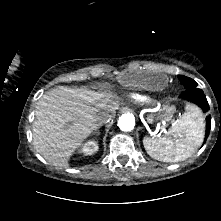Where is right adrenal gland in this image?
Returning a JSON list of instances; mask_svg holds the SVG:
<instances>
[{
  "label": "right adrenal gland",
  "instance_id": "right-adrenal-gland-1",
  "mask_svg": "<svg viewBox=\"0 0 221 221\" xmlns=\"http://www.w3.org/2000/svg\"><path fill=\"white\" fill-rule=\"evenodd\" d=\"M93 133L96 134V135H99L100 134L99 127Z\"/></svg>",
  "mask_w": 221,
  "mask_h": 221
}]
</instances>
